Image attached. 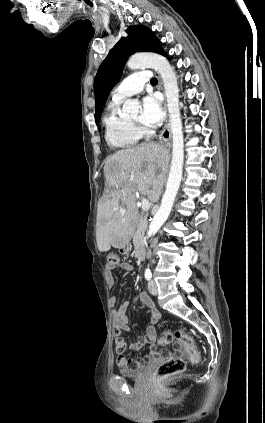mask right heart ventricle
Instances as JSON below:
<instances>
[{
	"label": "right heart ventricle",
	"mask_w": 265,
	"mask_h": 423,
	"mask_svg": "<svg viewBox=\"0 0 265 423\" xmlns=\"http://www.w3.org/2000/svg\"><path fill=\"white\" fill-rule=\"evenodd\" d=\"M122 101L112 99L105 110L103 125L105 139L109 146L119 149L134 147L139 139V131L120 112Z\"/></svg>",
	"instance_id": "right-heart-ventricle-1"
}]
</instances>
